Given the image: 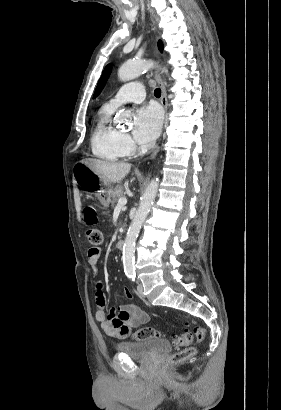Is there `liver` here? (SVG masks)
I'll return each instance as SVG.
<instances>
[{"label": "liver", "mask_w": 281, "mask_h": 410, "mask_svg": "<svg viewBox=\"0 0 281 410\" xmlns=\"http://www.w3.org/2000/svg\"><path fill=\"white\" fill-rule=\"evenodd\" d=\"M87 165H89L96 173L104 176L110 182L119 183L123 180L131 169V164L129 163H116L110 161H104L99 159H85L83 160ZM75 183V181H73ZM75 207L77 211V217L80 220L81 217V201L79 193L75 196Z\"/></svg>", "instance_id": "6515ba94"}]
</instances>
